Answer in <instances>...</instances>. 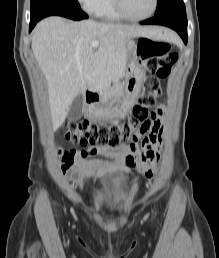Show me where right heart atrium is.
Here are the masks:
<instances>
[{"label":"right heart atrium","mask_w":219,"mask_h":258,"mask_svg":"<svg viewBox=\"0 0 219 258\" xmlns=\"http://www.w3.org/2000/svg\"><path fill=\"white\" fill-rule=\"evenodd\" d=\"M103 0H78L82 8L88 13H96Z\"/></svg>","instance_id":"d8ad5b80"}]
</instances>
